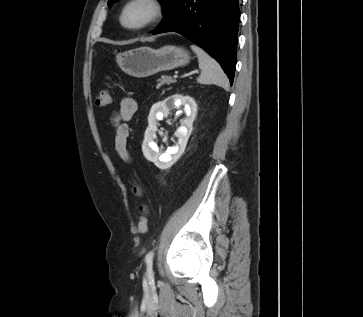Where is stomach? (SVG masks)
Instances as JSON below:
<instances>
[{"label": "stomach", "mask_w": 363, "mask_h": 317, "mask_svg": "<svg viewBox=\"0 0 363 317\" xmlns=\"http://www.w3.org/2000/svg\"><path fill=\"white\" fill-rule=\"evenodd\" d=\"M189 60L185 49L173 45L159 49L139 47L116 56L118 66L128 75L138 78L187 65Z\"/></svg>", "instance_id": "stomach-1"}]
</instances>
